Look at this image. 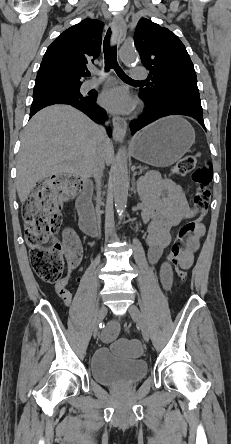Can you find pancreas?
Listing matches in <instances>:
<instances>
[{
    "label": "pancreas",
    "instance_id": "cf45deb5",
    "mask_svg": "<svg viewBox=\"0 0 231 444\" xmlns=\"http://www.w3.org/2000/svg\"><path fill=\"white\" fill-rule=\"evenodd\" d=\"M138 169H139V172L140 173H143V172H145V171H147L148 170V167L147 166H138Z\"/></svg>",
    "mask_w": 231,
    "mask_h": 444
}]
</instances>
